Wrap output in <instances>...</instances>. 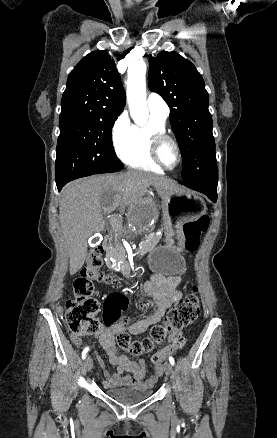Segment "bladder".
<instances>
[{
    "label": "bladder",
    "mask_w": 277,
    "mask_h": 438,
    "mask_svg": "<svg viewBox=\"0 0 277 438\" xmlns=\"http://www.w3.org/2000/svg\"><path fill=\"white\" fill-rule=\"evenodd\" d=\"M152 394L151 389H131L124 387H112L106 390V396L111 400L124 405H132L143 402Z\"/></svg>",
    "instance_id": "1"
}]
</instances>
